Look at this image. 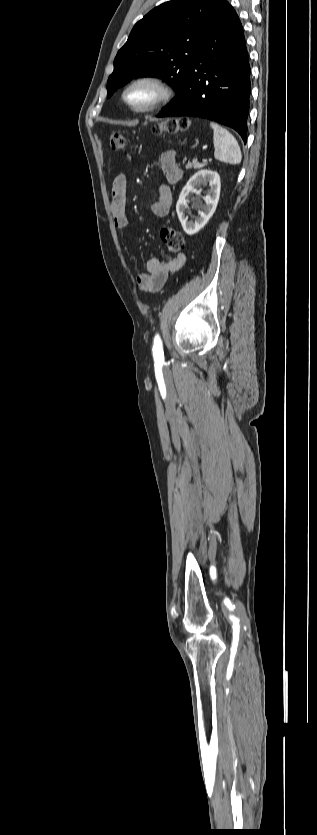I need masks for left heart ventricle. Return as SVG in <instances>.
<instances>
[{
	"instance_id": "left-heart-ventricle-1",
	"label": "left heart ventricle",
	"mask_w": 317,
	"mask_h": 835,
	"mask_svg": "<svg viewBox=\"0 0 317 835\" xmlns=\"http://www.w3.org/2000/svg\"><path fill=\"white\" fill-rule=\"evenodd\" d=\"M128 97L132 102L141 104L151 97V91L145 87H136L129 93Z\"/></svg>"
}]
</instances>
